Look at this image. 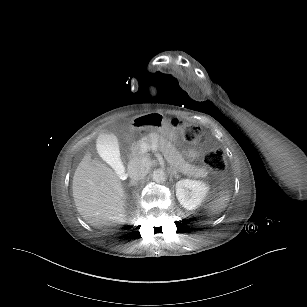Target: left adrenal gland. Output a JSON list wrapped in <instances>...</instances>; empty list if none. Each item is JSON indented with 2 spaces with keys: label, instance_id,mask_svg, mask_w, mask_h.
<instances>
[{
  "label": "left adrenal gland",
  "instance_id": "obj_1",
  "mask_svg": "<svg viewBox=\"0 0 307 307\" xmlns=\"http://www.w3.org/2000/svg\"><path fill=\"white\" fill-rule=\"evenodd\" d=\"M172 173H173V175H174L175 178H178V175H177V171H176V170H173Z\"/></svg>",
  "mask_w": 307,
  "mask_h": 307
}]
</instances>
